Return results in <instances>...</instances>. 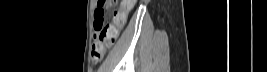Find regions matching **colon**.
<instances>
[{"label": "colon", "instance_id": "obj_1", "mask_svg": "<svg viewBox=\"0 0 267 72\" xmlns=\"http://www.w3.org/2000/svg\"><path fill=\"white\" fill-rule=\"evenodd\" d=\"M116 3L117 1L113 0L98 1V7L94 12V20L92 23L94 42L91 49V58L94 62L102 60L106 49L110 48L117 39L120 27L114 21L109 24H105L104 22L106 8ZM123 12V8L119 7L115 9L114 16L123 15Z\"/></svg>", "mask_w": 267, "mask_h": 72}]
</instances>
